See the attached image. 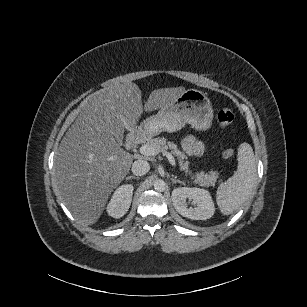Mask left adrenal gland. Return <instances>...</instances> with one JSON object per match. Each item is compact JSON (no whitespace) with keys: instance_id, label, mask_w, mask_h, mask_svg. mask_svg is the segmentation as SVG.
<instances>
[{"instance_id":"obj_1","label":"left adrenal gland","mask_w":307,"mask_h":307,"mask_svg":"<svg viewBox=\"0 0 307 307\" xmlns=\"http://www.w3.org/2000/svg\"><path fill=\"white\" fill-rule=\"evenodd\" d=\"M171 180H172L173 183H180V184L186 185L185 182H183V181H181V180H179V179L171 178Z\"/></svg>"}]
</instances>
